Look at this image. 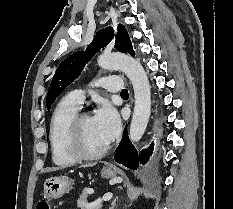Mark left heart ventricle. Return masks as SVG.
<instances>
[{
    "mask_svg": "<svg viewBox=\"0 0 233 209\" xmlns=\"http://www.w3.org/2000/svg\"><path fill=\"white\" fill-rule=\"evenodd\" d=\"M81 145L89 152H96L102 149L107 142L100 135L93 117L83 120L80 127Z\"/></svg>",
    "mask_w": 233,
    "mask_h": 209,
    "instance_id": "left-heart-ventricle-1",
    "label": "left heart ventricle"
}]
</instances>
